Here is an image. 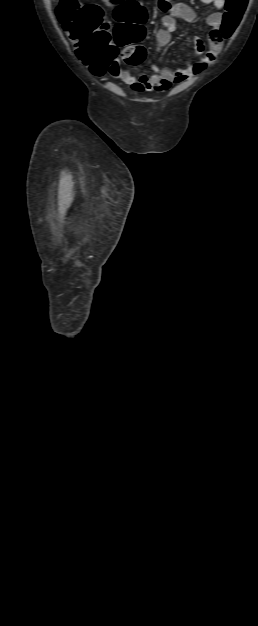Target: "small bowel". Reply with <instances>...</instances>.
<instances>
[{
    "mask_svg": "<svg viewBox=\"0 0 258 626\" xmlns=\"http://www.w3.org/2000/svg\"><path fill=\"white\" fill-rule=\"evenodd\" d=\"M205 4H212L218 10L210 14L207 19V25L210 30L208 33V47L206 48L199 38L193 40L194 53L197 59L194 63H187L184 67L172 70L169 68H159L153 66L154 74L151 76H136L132 72L125 70L118 60L111 63L109 74L121 80L131 90L139 93L143 92H166L174 84H179L201 73L208 65L213 63L223 47L224 37L221 33V23L223 13L221 10L225 7V0H201ZM156 7L164 13L161 19L162 27L156 32L155 40L157 50L164 49L171 40V34L176 30V20L182 19L191 23L196 18L195 11L187 4L172 3L171 0H157Z\"/></svg>",
    "mask_w": 258,
    "mask_h": 626,
    "instance_id": "small-bowel-1",
    "label": "small bowel"
}]
</instances>
